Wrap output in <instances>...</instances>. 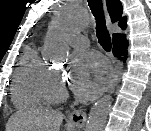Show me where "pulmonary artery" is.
<instances>
[{
    "instance_id": "e3ab8cb5",
    "label": "pulmonary artery",
    "mask_w": 151,
    "mask_h": 131,
    "mask_svg": "<svg viewBox=\"0 0 151 131\" xmlns=\"http://www.w3.org/2000/svg\"><path fill=\"white\" fill-rule=\"evenodd\" d=\"M72 44L76 47H85L88 45V41L85 37L76 36L72 39Z\"/></svg>"
}]
</instances>
